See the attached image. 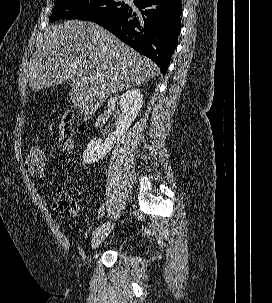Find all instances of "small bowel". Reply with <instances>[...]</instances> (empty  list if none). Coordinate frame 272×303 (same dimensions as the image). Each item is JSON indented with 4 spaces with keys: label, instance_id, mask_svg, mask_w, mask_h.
Segmentation results:
<instances>
[{
    "label": "small bowel",
    "instance_id": "obj_1",
    "mask_svg": "<svg viewBox=\"0 0 272 303\" xmlns=\"http://www.w3.org/2000/svg\"><path fill=\"white\" fill-rule=\"evenodd\" d=\"M25 165H26V169L28 171V173L32 176V177H35V178H42L44 177L45 175H39L37 173H35L31 167V164H30V161H29V154L26 158V161H25Z\"/></svg>",
    "mask_w": 272,
    "mask_h": 303
}]
</instances>
